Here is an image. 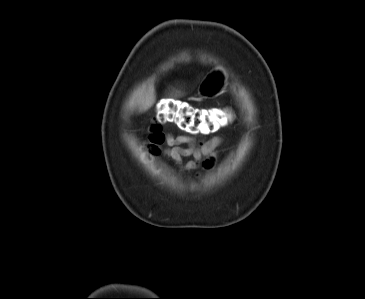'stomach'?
<instances>
[{
  "label": "stomach",
  "mask_w": 365,
  "mask_h": 299,
  "mask_svg": "<svg viewBox=\"0 0 365 299\" xmlns=\"http://www.w3.org/2000/svg\"><path fill=\"white\" fill-rule=\"evenodd\" d=\"M226 79L222 70L210 73L199 86L198 93L202 97L218 95L224 88Z\"/></svg>",
  "instance_id": "1"
}]
</instances>
